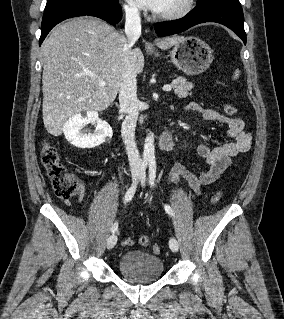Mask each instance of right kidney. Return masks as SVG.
<instances>
[{
  "label": "right kidney",
  "mask_w": 284,
  "mask_h": 319,
  "mask_svg": "<svg viewBox=\"0 0 284 319\" xmlns=\"http://www.w3.org/2000/svg\"><path fill=\"white\" fill-rule=\"evenodd\" d=\"M90 123L96 127L93 133L82 130ZM63 132L72 145L83 149L99 146L113 135L111 126L98 117L97 111H87L86 114L78 113L72 116L65 123Z\"/></svg>",
  "instance_id": "right-kidney-1"
}]
</instances>
